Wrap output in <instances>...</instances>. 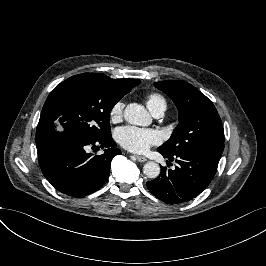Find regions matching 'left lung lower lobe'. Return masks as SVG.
<instances>
[{
	"instance_id": "left-lung-lower-lobe-1",
	"label": "left lung lower lobe",
	"mask_w": 266,
	"mask_h": 266,
	"mask_svg": "<svg viewBox=\"0 0 266 266\" xmlns=\"http://www.w3.org/2000/svg\"><path fill=\"white\" fill-rule=\"evenodd\" d=\"M158 151L170 161L175 158L179 164L174 170L162 167L159 177L146 183L153 195L168 204L184 203L198 196L214 177L221 157L203 150H186L175 155Z\"/></svg>"
}]
</instances>
